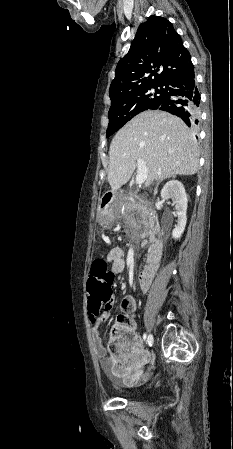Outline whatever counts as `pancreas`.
<instances>
[{"instance_id": "1", "label": "pancreas", "mask_w": 233, "mask_h": 449, "mask_svg": "<svg viewBox=\"0 0 233 449\" xmlns=\"http://www.w3.org/2000/svg\"><path fill=\"white\" fill-rule=\"evenodd\" d=\"M149 205L148 203L140 198L139 196L135 195L133 197H130L127 203L125 204V213L124 218L127 222H135L133 218V212H136L140 215L143 222L147 221V218L149 216ZM141 223V222H138Z\"/></svg>"}]
</instances>
